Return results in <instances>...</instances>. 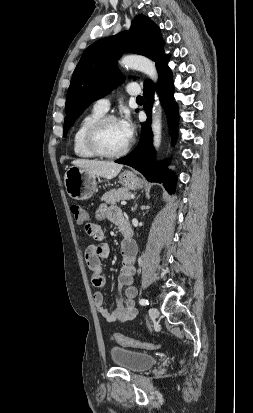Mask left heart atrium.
I'll use <instances>...</instances> for the list:
<instances>
[{
	"mask_svg": "<svg viewBox=\"0 0 253 413\" xmlns=\"http://www.w3.org/2000/svg\"><path fill=\"white\" fill-rule=\"evenodd\" d=\"M118 126L123 133V135L126 137L128 141H130L133 137L135 126L130 118L129 115H124L122 118H120L118 121Z\"/></svg>",
	"mask_w": 253,
	"mask_h": 413,
	"instance_id": "1",
	"label": "left heart atrium"
}]
</instances>
